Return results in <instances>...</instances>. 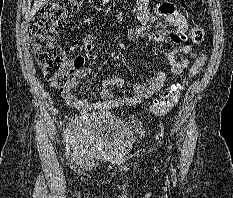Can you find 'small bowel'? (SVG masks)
I'll list each match as a JSON object with an SVG mask.
<instances>
[{"label": "small bowel", "mask_w": 233, "mask_h": 198, "mask_svg": "<svg viewBox=\"0 0 233 198\" xmlns=\"http://www.w3.org/2000/svg\"><path fill=\"white\" fill-rule=\"evenodd\" d=\"M148 4L149 0H137L138 20L141 25L137 28L128 25L126 27L127 33L131 38L147 36L156 42H162L166 39H170L173 43L177 44V48L165 52V57L169 67V72L172 75H179L183 69L188 66V56L192 54L191 48L185 44L188 40L189 33L187 22L184 16L179 13L171 3L163 2L157 6L156 16L162 19L165 24L170 26L171 30L153 31L151 29L153 15ZM84 48L88 59H97V53L94 50L95 37L93 35H87L84 38ZM179 55H183V57L178 58ZM73 64L78 70V76L80 79H83L90 74L91 69L84 66L83 57L75 58ZM141 80L142 82L134 86L133 94L129 96H116L111 89L112 87H116L120 90L124 89L125 83L121 77L116 76L104 80L102 82L101 90V96L104 99L103 102H91L71 93H65L63 94V97L69 105L83 111L96 110L99 112H107L112 108L122 105L135 106L164 88L167 80V73L161 71L152 77L142 75Z\"/></svg>", "instance_id": "1"}]
</instances>
